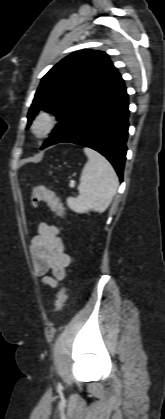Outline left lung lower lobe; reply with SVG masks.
I'll return each instance as SVG.
<instances>
[{"label":"left lung lower lobe","instance_id":"obj_1","mask_svg":"<svg viewBox=\"0 0 165 419\" xmlns=\"http://www.w3.org/2000/svg\"><path fill=\"white\" fill-rule=\"evenodd\" d=\"M128 94L119 75L82 103L44 142L41 149L61 142L90 147L104 155L123 178L128 137Z\"/></svg>","mask_w":165,"mask_h":419}]
</instances>
